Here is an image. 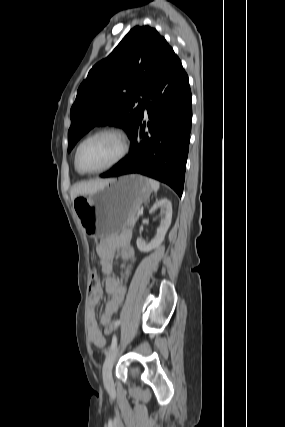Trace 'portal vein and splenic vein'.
Masks as SVG:
<instances>
[{
    "label": "portal vein and splenic vein",
    "instance_id": "1",
    "mask_svg": "<svg viewBox=\"0 0 285 427\" xmlns=\"http://www.w3.org/2000/svg\"><path fill=\"white\" fill-rule=\"evenodd\" d=\"M142 214H143V210H139L138 215H142Z\"/></svg>",
    "mask_w": 285,
    "mask_h": 427
}]
</instances>
